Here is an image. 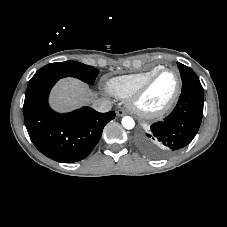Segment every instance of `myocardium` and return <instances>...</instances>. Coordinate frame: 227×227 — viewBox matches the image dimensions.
<instances>
[{
	"label": "myocardium",
	"mask_w": 227,
	"mask_h": 227,
	"mask_svg": "<svg viewBox=\"0 0 227 227\" xmlns=\"http://www.w3.org/2000/svg\"><path fill=\"white\" fill-rule=\"evenodd\" d=\"M166 71H173L177 77V85L174 94L170 100L161 108L155 110L144 109L140 106V101L156 78ZM182 91V78L180 72L174 67H161L156 72L151 74L130 96L129 107L139 116L147 119L158 118L167 114L177 102Z\"/></svg>",
	"instance_id": "obj_1"
}]
</instances>
